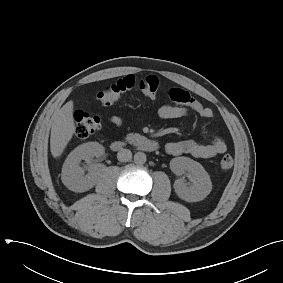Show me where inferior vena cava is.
I'll return each instance as SVG.
<instances>
[{"label":"inferior vena cava","instance_id":"inferior-vena-cava-1","mask_svg":"<svg viewBox=\"0 0 283 283\" xmlns=\"http://www.w3.org/2000/svg\"><path fill=\"white\" fill-rule=\"evenodd\" d=\"M117 158L120 162H128L132 158V152L129 149H121L117 153Z\"/></svg>","mask_w":283,"mask_h":283}]
</instances>
